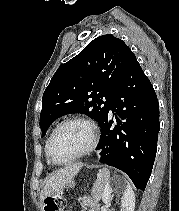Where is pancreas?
I'll use <instances>...</instances> for the list:
<instances>
[{"instance_id": "obj_1", "label": "pancreas", "mask_w": 179, "mask_h": 211, "mask_svg": "<svg viewBox=\"0 0 179 211\" xmlns=\"http://www.w3.org/2000/svg\"><path fill=\"white\" fill-rule=\"evenodd\" d=\"M105 185V180L104 179H98L94 184L91 189V196L95 201H99L102 193H103V188Z\"/></svg>"}]
</instances>
